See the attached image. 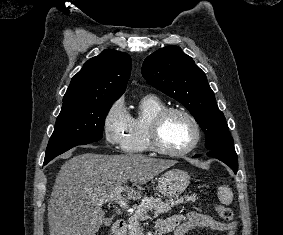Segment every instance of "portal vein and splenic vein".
<instances>
[{
	"mask_svg": "<svg viewBox=\"0 0 283 235\" xmlns=\"http://www.w3.org/2000/svg\"><path fill=\"white\" fill-rule=\"evenodd\" d=\"M123 190H124L123 187L117 188V190L113 194L105 198H100L98 199V201L100 204L113 201V202H116L122 208H128L127 201L121 195ZM146 218H148V216H143L141 220H145Z\"/></svg>",
	"mask_w": 283,
	"mask_h": 235,
	"instance_id": "18ae733b",
	"label": "portal vein and splenic vein"
}]
</instances>
